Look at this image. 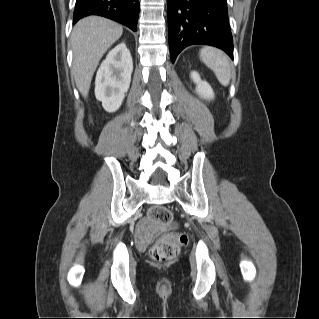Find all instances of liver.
I'll list each match as a JSON object with an SVG mask.
<instances>
[{
    "label": "liver",
    "mask_w": 319,
    "mask_h": 319,
    "mask_svg": "<svg viewBox=\"0 0 319 319\" xmlns=\"http://www.w3.org/2000/svg\"><path fill=\"white\" fill-rule=\"evenodd\" d=\"M122 33L121 25L99 16L86 17L74 26L71 34L72 74L84 98L88 96L100 59Z\"/></svg>",
    "instance_id": "6515ba94"
}]
</instances>
